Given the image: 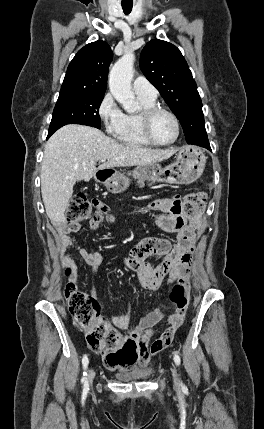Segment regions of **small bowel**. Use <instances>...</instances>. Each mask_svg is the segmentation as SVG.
I'll return each instance as SVG.
<instances>
[{
	"mask_svg": "<svg viewBox=\"0 0 264 429\" xmlns=\"http://www.w3.org/2000/svg\"><path fill=\"white\" fill-rule=\"evenodd\" d=\"M181 199L179 196L156 199L148 204V207L162 212L155 218V224L163 230L176 232V242L171 244L168 240L158 238L142 239L124 258L126 268L136 271L143 287L147 289L158 288L168 277V282L175 280L189 284V269L192 263V253L195 245V237L186 225V218L180 210ZM100 221L91 219L88 223L90 229L98 228ZM82 228L78 221L71 222L67 227L57 229V244L64 261L75 265L74 257L67 254L69 248L76 249L79 256L92 269V285L89 295L96 297L95 281L100 265L104 262V256L98 251H88L71 233H77ZM152 255L163 256V260L157 267L152 266L147 258ZM78 276H75L77 279ZM132 315L131 306L123 316L118 319L122 328H128V335L137 344V359L135 364L143 369L153 356L166 349L172 342L176 330L182 325L184 313L174 311L166 317L167 327L161 335L151 341V336L156 325L165 317L160 309L146 312L138 322L130 325Z\"/></svg>",
	"mask_w": 264,
	"mask_h": 429,
	"instance_id": "1",
	"label": "small bowel"
}]
</instances>
